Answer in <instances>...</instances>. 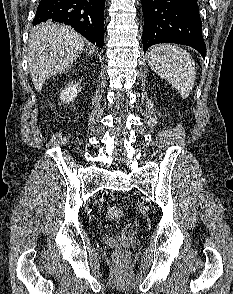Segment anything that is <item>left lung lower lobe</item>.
I'll use <instances>...</instances> for the list:
<instances>
[{"label": "left lung lower lobe", "mask_w": 233, "mask_h": 294, "mask_svg": "<svg viewBox=\"0 0 233 294\" xmlns=\"http://www.w3.org/2000/svg\"><path fill=\"white\" fill-rule=\"evenodd\" d=\"M143 50L157 43L191 46L204 58L206 45L197 0H142Z\"/></svg>", "instance_id": "0a47b994"}]
</instances>
